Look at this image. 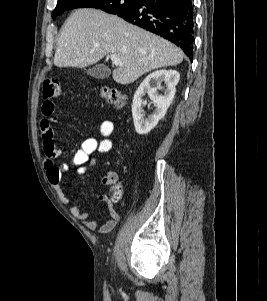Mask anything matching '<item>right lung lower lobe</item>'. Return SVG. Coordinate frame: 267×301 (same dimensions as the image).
<instances>
[{"mask_svg": "<svg viewBox=\"0 0 267 301\" xmlns=\"http://www.w3.org/2000/svg\"><path fill=\"white\" fill-rule=\"evenodd\" d=\"M117 15L173 42L192 58L194 42L192 0H138L131 9Z\"/></svg>", "mask_w": 267, "mask_h": 301, "instance_id": "obj_1", "label": "right lung lower lobe"}]
</instances>
